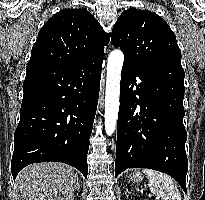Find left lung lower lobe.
<instances>
[{
  "label": "left lung lower lobe",
  "instance_id": "0a47b994",
  "mask_svg": "<svg viewBox=\"0 0 205 200\" xmlns=\"http://www.w3.org/2000/svg\"><path fill=\"white\" fill-rule=\"evenodd\" d=\"M184 77L177 60L123 64L115 177L127 168H150L169 174L187 192Z\"/></svg>",
  "mask_w": 205,
  "mask_h": 200
}]
</instances>
